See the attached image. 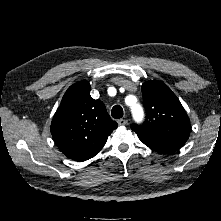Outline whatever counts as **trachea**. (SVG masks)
<instances>
[{
	"label": "trachea",
	"mask_w": 221,
	"mask_h": 221,
	"mask_svg": "<svg viewBox=\"0 0 221 221\" xmlns=\"http://www.w3.org/2000/svg\"><path fill=\"white\" fill-rule=\"evenodd\" d=\"M112 117L115 119H119L123 117V109L120 105L113 106L111 110Z\"/></svg>",
	"instance_id": "trachea-1"
}]
</instances>
